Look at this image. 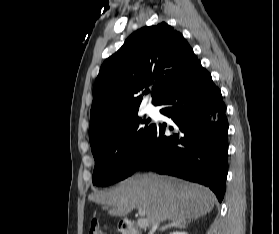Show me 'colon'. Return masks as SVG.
<instances>
[{
	"instance_id": "1",
	"label": "colon",
	"mask_w": 279,
	"mask_h": 234,
	"mask_svg": "<svg viewBox=\"0 0 279 234\" xmlns=\"http://www.w3.org/2000/svg\"><path fill=\"white\" fill-rule=\"evenodd\" d=\"M106 226L99 220L93 219L89 225L87 234H106Z\"/></svg>"
}]
</instances>
